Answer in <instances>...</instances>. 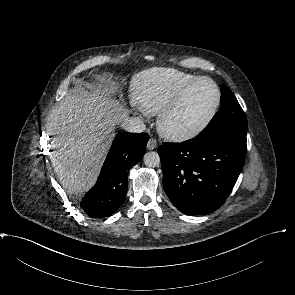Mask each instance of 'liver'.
<instances>
[{"instance_id":"obj_1","label":"liver","mask_w":295,"mask_h":295,"mask_svg":"<svg viewBox=\"0 0 295 295\" xmlns=\"http://www.w3.org/2000/svg\"><path fill=\"white\" fill-rule=\"evenodd\" d=\"M112 88H76L48 114L46 132L51 142V164L69 193H84L96 182L113 139L114 126L127 111L110 97Z\"/></svg>"}]
</instances>
